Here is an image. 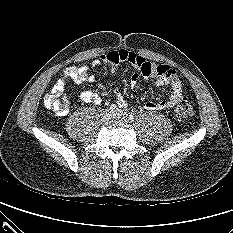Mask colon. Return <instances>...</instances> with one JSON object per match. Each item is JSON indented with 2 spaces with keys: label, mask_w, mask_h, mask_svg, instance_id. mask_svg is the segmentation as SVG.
I'll return each mask as SVG.
<instances>
[{
  "label": "colon",
  "mask_w": 233,
  "mask_h": 233,
  "mask_svg": "<svg viewBox=\"0 0 233 233\" xmlns=\"http://www.w3.org/2000/svg\"><path fill=\"white\" fill-rule=\"evenodd\" d=\"M61 92L55 89H52L44 98V105L49 110L54 113L61 114L68 108V100L66 98H61ZM194 115L193 106L187 101H181L176 109L175 116L179 120H188Z\"/></svg>",
  "instance_id": "5ec220e1"
}]
</instances>
